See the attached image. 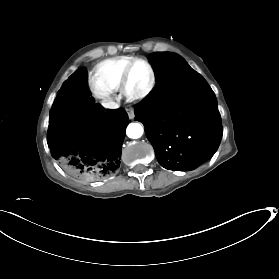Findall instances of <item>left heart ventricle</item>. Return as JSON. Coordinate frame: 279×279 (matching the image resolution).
Returning <instances> with one entry per match:
<instances>
[{"mask_svg":"<svg viewBox=\"0 0 279 279\" xmlns=\"http://www.w3.org/2000/svg\"><path fill=\"white\" fill-rule=\"evenodd\" d=\"M151 75L148 67L142 62L132 65L129 74V89L132 93L138 94L144 91L150 83Z\"/></svg>","mask_w":279,"mask_h":279,"instance_id":"b2bd125f","label":"left heart ventricle"}]
</instances>
